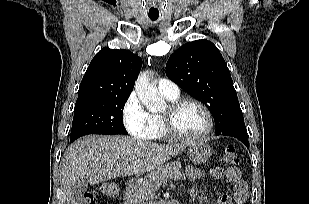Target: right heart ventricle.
Instances as JSON below:
<instances>
[{"label":"right heart ventricle","instance_id":"right-heart-ventricle-1","mask_svg":"<svg viewBox=\"0 0 309 204\" xmlns=\"http://www.w3.org/2000/svg\"><path fill=\"white\" fill-rule=\"evenodd\" d=\"M164 97L169 101H173L177 99V97H168V96H164ZM149 119L153 126V135L151 139L158 140V139L166 138L168 135L165 132V129L163 127L161 116L159 114L151 113L149 114Z\"/></svg>","mask_w":309,"mask_h":204}]
</instances>
